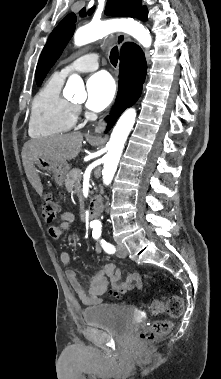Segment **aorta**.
<instances>
[{"mask_svg":"<svg viewBox=\"0 0 221 379\" xmlns=\"http://www.w3.org/2000/svg\"><path fill=\"white\" fill-rule=\"evenodd\" d=\"M116 31L131 35L146 48L151 46L152 37L149 30L130 18L89 23L76 31L74 43L76 46H83ZM64 96L67 98L74 96L75 99L85 97L84 83L79 75L73 74L69 77L64 89ZM135 119L136 110L134 108L127 109L121 115L112 131L107 144L108 152L104 157V167L102 170L103 183L105 185H109L114 177L124 144L133 128Z\"/></svg>","mask_w":221,"mask_h":379,"instance_id":"aorta-1","label":"aorta"}]
</instances>
